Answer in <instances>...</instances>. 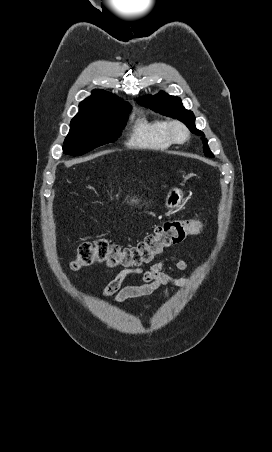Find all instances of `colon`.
<instances>
[{"instance_id": "1", "label": "colon", "mask_w": 272, "mask_h": 452, "mask_svg": "<svg viewBox=\"0 0 272 452\" xmlns=\"http://www.w3.org/2000/svg\"><path fill=\"white\" fill-rule=\"evenodd\" d=\"M203 224L199 220H167L155 226L153 232L136 245L122 246L105 239L84 242L79 245L73 270L96 265L110 268H135L151 264L166 248L183 241L187 236L199 233Z\"/></svg>"}]
</instances>
